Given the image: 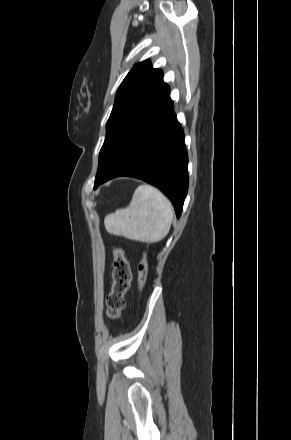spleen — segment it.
<instances>
[{
    "mask_svg": "<svg viewBox=\"0 0 291 440\" xmlns=\"http://www.w3.org/2000/svg\"><path fill=\"white\" fill-rule=\"evenodd\" d=\"M172 219L170 201L155 187L143 184L135 190L129 206L107 215L104 224L110 234L155 243L167 236Z\"/></svg>",
    "mask_w": 291,
    "mask_h": 440,
    "instance_id": "obj_1",
    "label": "spleen"
}]
</instances>
